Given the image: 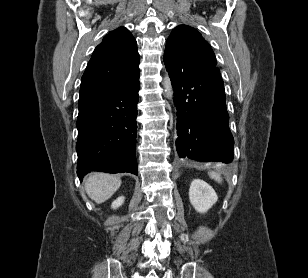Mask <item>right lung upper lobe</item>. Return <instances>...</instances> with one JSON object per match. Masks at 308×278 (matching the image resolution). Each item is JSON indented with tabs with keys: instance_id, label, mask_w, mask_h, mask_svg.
Wrapping results in <instances>:
<instances>
[{
	"instance_id": "obj_1",
	"label": "right lung upper lobe",
	"mask_w": 308,
	"mask_h": 278,
	"mask_svg": "<svg viewBox=\"0 0 308 278\" xmlns=\"http://www.w3.org/2000/svg\"><path fill=\"white\" fill-rule=\"evenodd\" d=\"M137 43L125 28L108 33L95 48L81 78L80 98L112 93L140 76Z\"/></svg>"
}]
</instances>
